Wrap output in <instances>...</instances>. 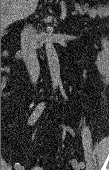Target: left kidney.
Instances as JSON below:
<instances>
[{"mask_svg": "<svg viewBox=\"0 0 109 170\" xmlns=\"http://www.w3.org/2000/svg\"><path fill=\"white\" fill-rule=\"evenodd\" d=\"M103 50L98 54L96 66L101 74H107L109 71V52L108 42L106 39L102 40Z\"/></svg>", "mask_w": 109, "mask_h": 170, "instance_id": "1", "label": "left kidney"}]
</instances>
